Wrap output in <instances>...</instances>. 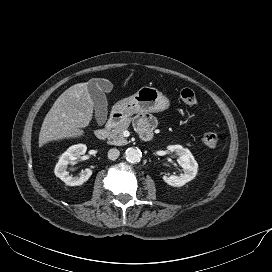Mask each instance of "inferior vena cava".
Masks as SVG:
<instances>
[{
    "label": "inferior vena cava",
    "instance_id": "inferior-vena-cava-1",
    "mask_svg": "<svg viewBox=\"0 0 272 272\" xmlns=\"http://www.w3.org/2000/svg\"><path fill=\"white\" fill-rule=\"evenodd\" d=\"M120 155V151L116 148H112L108 151V158L110 160H116Z\"/></svg>",
    "mask_w": 272,
    "mask_h": 272
}]
</instances>
